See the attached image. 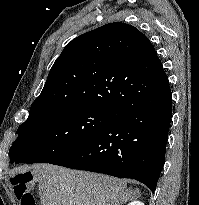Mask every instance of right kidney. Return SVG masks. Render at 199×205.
I'll return each mask as SVG.
<instances>
[{
  "mask_svg": "<svg viewBox=\"0 0 199 205\" xmlns=\"http://www.w3.org/2000/svg\"><path fill=\"white\" fill-rule=\"evenodd\" d=\"M128 205H144V203H142L141 201H133V202H130Z\"/></svg>",
  "mask_w": 199,
  "mask_h": 205,
  "instance_id": "ca27d5eb",
  "label": "right kidney"
}]
</instances>
